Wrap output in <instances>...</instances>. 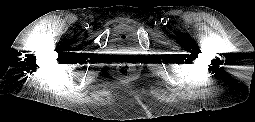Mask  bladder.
<instances>
[{"label": "bladder", "mask_w": 255, "mask_h": 122, "mask_svg": "<svg viewBox=\"0 0 255 122\" xmlns=\"http://www.w3.org/2000/svg\"><path fill=\"white\" fill-rule=\"evenodd\" d=\"M110 41L119 49L132 50L136 47L135 28L132 24H124L113 30Z\"/></svg>", "instance_id": "1"}]
</instances>
